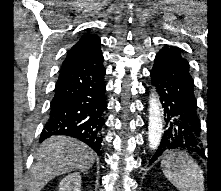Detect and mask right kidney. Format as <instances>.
Instances as JSON below:
<instances>
[{"instance_id": "1", "label": "right kidney", "mask_w": 221, "mask_h": 191, "mask_svg": "<svg viewBox=\"0 0 221 191\" xmlns=\"http://www.w3.org/2000/svg\"><path fill=\"white\" fill-rule=\"evenodd\" d=\"M59 191H81V175L75 172L63 178L59 185Z\"/></svg>"}]
</instances>
